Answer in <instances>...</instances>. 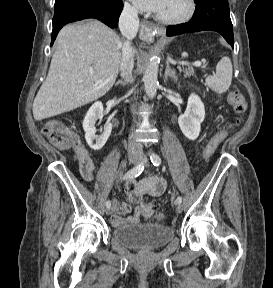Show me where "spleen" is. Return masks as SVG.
Listing matches in <instances>:
<instances>
[{
  "instance_id": "3e777b00",
  "label": "spleen",
  "mask_w": 273,
  "mask_h": 288,
  "mask_svg": "<svg viewBox=\"0 0 273 288\" xmlns=\"http://www.w3.org/2000/svg\"><path fill=\"white\" fill-rule=\"evenodd\" d=\"M232 63L229 57H223L216 66V74L206 78V84L216 93H225L232 81Z\"/></svg>"
}]
</instances>
